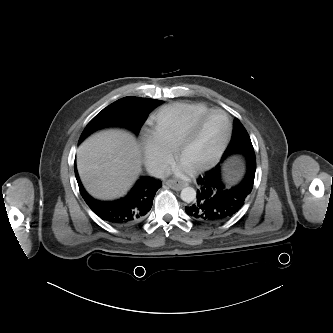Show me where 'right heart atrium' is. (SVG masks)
<instances>
[{"label": "right heart atrium", "instance_id": "obj_1", "mask_svg": "<svg viewBox=\"0 0 333 333\" xmlns=\"http://www.w3.org/2000/svg\"><path fill=\"white\" fill-rule=\"evenodd\" d=\"M143 156L151 173L160 176L165 173L172 161V149L149 131L143 136Z\"/></svg>", "mask_w": 333, "mask_h": 333}]
</instances>
